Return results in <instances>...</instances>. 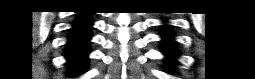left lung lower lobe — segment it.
I'll list each match as a JSON object with an SVG mask.
<instances>
[{
	"mask_svg": "<svg viewBox=\"0 0 255 79\" xmlns=\"http://www.w3.org/2000/svg\"><path fill=\"white\" fill-rule=\"evenodd\" d=\"M162 41V52L168 57V62H173L177 56V51L173 46L172 33L165 30Z\"/></svg>",
	"mask_w": 255,
	"mask_h": 79,
	"instance_id": "left-lung-lower-lobe-1",
	"label": "left lung lower lobe"
}]
</instances>
